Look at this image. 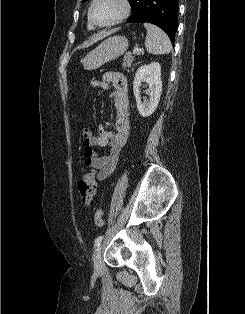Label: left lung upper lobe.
<instances>
[{"label": "left lung upper lobe", "instance_id": "obj_1", "mask_svg": "<svg viewBox=\"0 0 245 314\" xmlns=\"http://www.w3.org/2000/svg\"><path fill=\"white\" fill-rule=\"evenodd\" d=\"M85 1L87 0H82V2H85ZM141 2L142 0H129V3L132 8V15H135L139 12V10L141 9Z\"/></svg>", "mask_w": 245, "mask_h": 314}]
</instances>
